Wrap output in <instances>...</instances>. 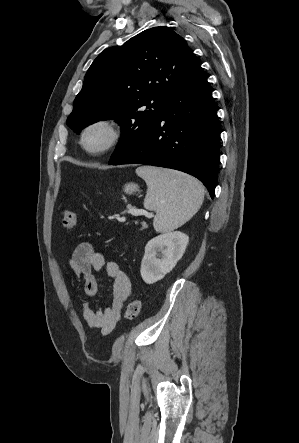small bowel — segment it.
I'll return each instance as SVG.
<instances>
[{
	"label": "small bowel",
	"instance_id": "1",
	"mask_svg": "<svg viewBox=\"0 0 299 443\" xmlns=\"http://www.w3.org/2000/svg\"><path fill=\"white\" fill-rule=\"evenodd\" d=\"M68 265L71 281L81 285L85 296L81 303L87 324L91 328L100 329L104 336L110 335L120 318L125 301L132 292L129 276L121 270L117 262L106 260L105 256L89 242H81L74 247ZM103 270L112 279V301L109 307L94 310L87 298L97 294L98 283L95 274Z\"/></svg>",
	"mask_w": 299,
	"mask_h": 443
}]
</instances>
